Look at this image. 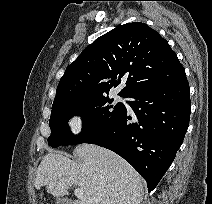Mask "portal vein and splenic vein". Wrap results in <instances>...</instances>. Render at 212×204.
Here are the masks:
<instances>
[{"mask_svg": "<svg viewBox=\"0 0 212 204\" xmlns=\"http://www.w3.org/2000/svg\"><path fill=\"white\" fill-rule=\"evenodd\" d=\"M74 194H75V196H77L78 198H84V195H83V190L82 189H80V188H76L75 190H74Z\"/></svg>", "mask_w": 212, "mask_h": 204, "instance_id": "1", "label": "portal vein and splenic vein"}]
</instances>
